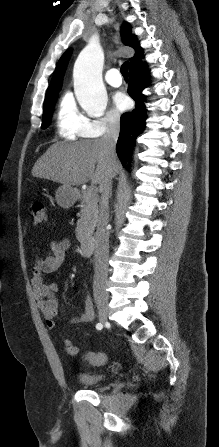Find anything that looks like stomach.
<instances>
[{"label": "stomach", "mask_w": 219, "mask_h": 447, "mask_svg": "<svg viewBox=\"0 0 219 447\" xmlns=\"http://www.w3.org/2000/svg\"><path fill=\"white\" fill-rule=\"evenodd\" d=\"M79 192L71 186H60L56 191V201L63 208H70L78 198Z\"/></svg>", "instance_id": "stomach-1"}]
</instances>
